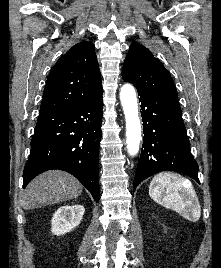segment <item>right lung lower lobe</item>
I'll return each instance as SVG.
<instances>
[{"label":"right lung lower lobe","instance_id":"right-lung-lower-lobe-1","mask_svg":"<svg viewBox=\"0 0 221 268\" xmlns=\"http://www.w3.org/2000/svg\"><path fill=\"white\" fill-rule=\"evenodd\" d=\"M102 108L101 94L78 105L39 114L24 167V188L40 173L59 169L74 175L99 201Z\"/></svg>","mask_w":221,"mask_h":268}]
</instances>
